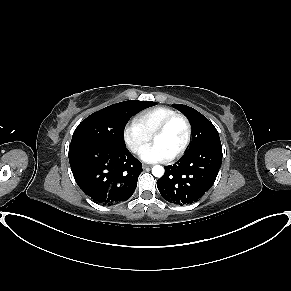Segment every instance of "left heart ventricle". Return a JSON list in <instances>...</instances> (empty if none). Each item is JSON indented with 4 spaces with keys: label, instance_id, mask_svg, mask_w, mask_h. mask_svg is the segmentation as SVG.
<instances>
[{
    "label": "left heart ventricle",
    "instance_id": "left-heart-ventricle-1",
    "mask_svg": "<svg viewBox=\"0 0 291 291\" xmlns=\"http://www.w3.org/2000/svg\"><path fill=\"white\" fill-rule=\"evenodd\" d=\"M186 137V128L182 120H175L163 134L155 137L153 142L161 145L170 155L175 154Z\"/></svg>",
    "mask_w": 291,
    "mask_h": 291
}]
</instances>
